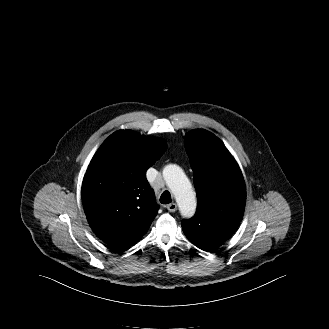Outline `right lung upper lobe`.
<instances>
[{
  "instance_id": "1",
  "label": "right lung upper lobe",
  "mask_w": 329,
  "mask_h": 329,
  "mask_svg": "<svg viewBox=\"0 0 329 329\" xmlns=\"http://www.w3.org/2000/svg\"><path fill=\"white\" fill-rule=\"evenodd\" d=\"M165 149L160 139L120 130L92 158L82 183V202L92 230L110 249L126 251L153 221L158 205L146 171Z\"/></svg>"
}]
</instances>
